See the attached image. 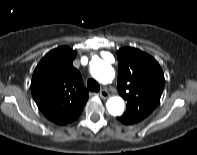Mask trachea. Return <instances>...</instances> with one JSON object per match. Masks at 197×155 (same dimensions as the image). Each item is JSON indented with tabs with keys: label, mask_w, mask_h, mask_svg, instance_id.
<instances>
[{
	"label": "trachea",
	"mask_w": 197,
	"mask_h": 155,
	"mask_svg": "<svg viewBox=\"0 0 197 155\" xmlns=\"http://www.w3.org/2000/svg\"><path fill=\"white\" fill-rule=\"evenodd\" d=\"M87 87L92 92H98L100 90V85L94 79H88Z\"/></svg>",
	"instance_id": "trachea-1"
}]
</instances>
